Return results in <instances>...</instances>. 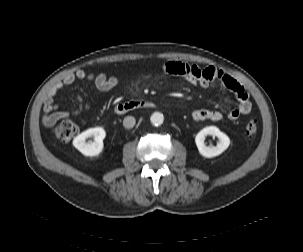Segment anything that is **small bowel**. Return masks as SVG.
Segmentation results:
<instances>
[{"mask_svg":"<svg viewBox=\"0 0 303 252\" xmlns=\"http://www.w3.org/2000/svg\"><path fill=\"white\" fill-rule=\"evenodd\" d=\"M163 70L170 75L181 77L191 85L203 88L214 87L221 82L234 94L239 102L238 107L230 110L227 114V118L231 121H235L241 115L248 114L251 111L252 103L248 91L237 80L214 67H201L194 64L169 61L163 65ZM76 80H85L93 84L101 95L107 94L118 84L117 77L107 76L102 72L87 73L83 70H77L67 75L50 88L45 98L43 104V125L45 128H52L59 120L69 116H77L84 109H89V105H84L83 98L79 95L80 106L72 111L59 110V105L54 102L57 92L61 88L73 84ZM192 118L195 121H220L223 119V114L212 109H197L193 111Z\"/></svg>","mask_w":303,"mask_h":252,"instance_id":"small-bowel-1","label":"small bowel"}]
</instances>
